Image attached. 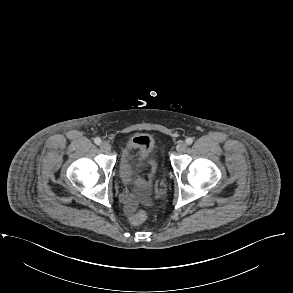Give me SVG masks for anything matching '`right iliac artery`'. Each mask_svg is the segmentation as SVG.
Returning a JSON list of instances; mask_svg holds the SVG:
<instances>
[{"label": "right iliac artery", "instance_id": "82829eb1", "mask_svg": "<svg viewBox=\"0 0 293 293\" xmlns=\"http://www.w3.org/2000/svg\"><path fill=\"white\" fill-rule=\"evenodd\" d=\"M94 142H95L96 145H100L101 144V139L97 137V138L94 139Z\"/></svg>", "mask_w": 293, "mask_h": 293}]
</instances>
